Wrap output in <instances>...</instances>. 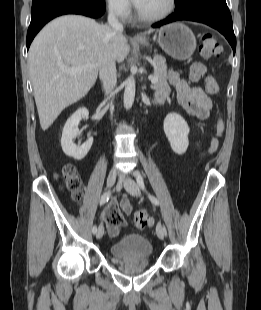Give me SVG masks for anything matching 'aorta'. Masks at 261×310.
Wrapping results in <instances>:
<instances>
[{"label":"aorta","instance_id":"aorta-1","mask_svg":"<svg viewBox=\"0 0 261 310\" xmlns=\"http://www.w3.org/2000/svg\"><path fill=\"white\" fill-rule=\"evenodd\" d=\"M135 78L133 76H129L125 80V90H124V107L126 109H130L134 103L135 99Z\"/></svg>","mask_w":261,"mask_h":310}]
</instances>
